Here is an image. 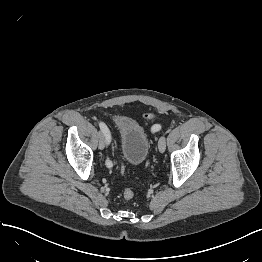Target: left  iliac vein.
I'll list each match as a JSON object with an SVG mask.
<instances>
[{
    "mask_svg": "<svg viewBox=\"0 0 262 262\" xmlns=\"http://www.w3.org/2000/svg\"><path fill=\"white\" fill-rule=\"evenodd\" d=\"M158 149L160 153H164L166 150V138L165 136H161L158 142Z\"/></svg>",
    "mask_w": 262,
    "mask_h": 262,
    "instance_id": "obj_1",
    "label": "left iliac vein"
}]
</instances>
